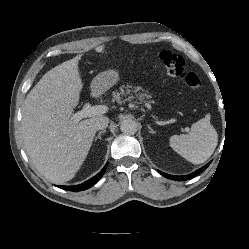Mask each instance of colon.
<instances>
[{
  "mask_svg": "<svg viewBox=\"0 0 249 249\" xmlns=\"http://www.w3.org/2000/svg\"><path fill=\"white\" fill-rule=\"evenodd\" d=\"M158 58L168 75L183 80L187 86L193 89L202 86L200 77L196 73L186 70L185 61L179 54L162 50L158 52Z\"/></svg>",
  "mask_w": 249,
  "mask_h": 249,
  "instance_id": "1",
  "label": "colon"
}]
</instances>
